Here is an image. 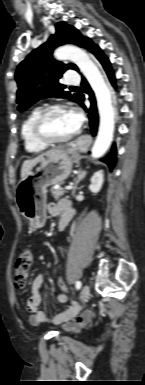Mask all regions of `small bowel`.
<instances>
[{
  "instance_id": "c3829d8e",
  "label": "small bowel",
  "mask_w": 145,
  "mask_h": 385,
  "mask_svg": "<svg viewBox=\"0 0 145 385\" xmlns=\"http://www.w3.org/2000/svg\"><path fill=\"white\" fill-rule=\"evenodd\" d=\"M67 211H71V215L73 216V208L67 199H62L48 205V213L54 217L59 215L63 216ZM44 281L45 276L38 274L31 283V295L27 300V310L31 313L29 322L33 325H39L49 320L48 312L42 306L40 295V289ZM59 286L63 292L59 293L56 299L60 303H65L68 300L67 286L62 281H59ZM93 316L94 313L90 310L80 312V307L76 303H73L68 309L59 311L51 321L56 325H61L64 330L76 331L85 327Z\"/></svg>"
}]
</instances>
